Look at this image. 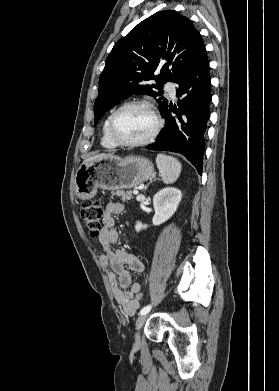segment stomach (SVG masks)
Listing matches in <instances>:
<instances>
[{
    "label": "stomach",
    "instance_id": "obj_1",
    "mask_svg": "<svg viewBox=\"0 0 279 391\" xmlns=\"http://www.w3.org/2000/svg\"><path fill=\"white\" fill-rule=\"evenodd\" d=\"M154 175L153 164L145 157L113 156L82 164L75 176L76 196L92 199L98 189L122 190L137 187Z\"/></svg>",
    "mask_w": 279,
    "mask_h": 391
}]
</instances>
